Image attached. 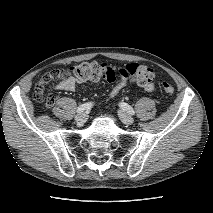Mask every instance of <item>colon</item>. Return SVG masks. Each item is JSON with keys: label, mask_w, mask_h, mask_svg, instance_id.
<instances>
[{"label": "colon", "mask_w": 213, "mask_h": 213, "mask_svg": "<svg viewBox=\"0 0 213 213\" xmlns=\"http://www.w3.org/2000/svg\"><path fill=\"white\" fill-rule=\"evenodd\" d=\"M71 74L80 82H97L107 81L118 83L114 86L111 95L116 96L121 92L122 85L126 80L145 87L150 88L156 77V72L153 68L139 63H129L123 66H116L107 63L98 62H83L71 68ZM62 72L54 71L45 74L40 81L35 85L34 98L36 101L43 103L46 107L51 106L53 98L45 94V87L52 80L61 76ZM162 89L168 93L173 94L174 88L164 82L162 83Z\"/></svg>", "instance_id": "1"}]
</instances>
